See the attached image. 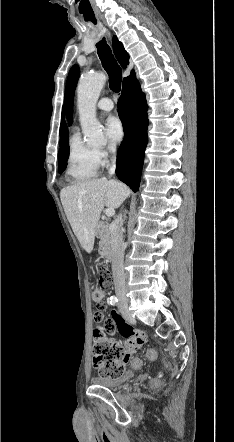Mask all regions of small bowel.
Instances as JSON below:
<instances>
[{"label": "small bowel", "mask_w": 234, "mask_h": 442, "mask_svg": "<svg viewBox=\"0 0 234 442\" xmlns=\"http://www.w3.org/2000/svg\"><path fill=\"white\" fill-rule=\"evenodd\" d=\"M105 305L94 314V320L97 323H101L104 320L103 311ZM119 330L125 340L122 343L123 349H132L138 351L146 343V336L143 332H135L133 328L128 324L127 319H122L115 311H112L111 315H108L102 324L97 327L98 333H103L106 336H114L115 331Z\"/></svg>", "instance_id": "1"}]
</instances>
